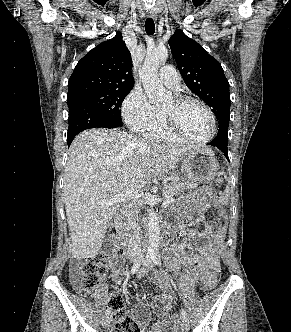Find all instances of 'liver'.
Wrapping results in <instances>:
<instances>
[{
  "mask_svg": "<svg viewBox=\"0 0 291 332\" xmlns=\"http://www.w3.org/2000/svg\"><path fill=\"white\" fill-rule=\"evenodd\" d=\"M198 147L147 142L118 129H90L73 140L64 175V203L72 256L94 258L117 203L113 196L144 187L153 175L176 167L184 153Z\"/></svg>",
  "mask_w": 291,
  "mask_h": 332,
  "instance_id": "6515ba94",
  "label": "liver"
}]
</instances>
